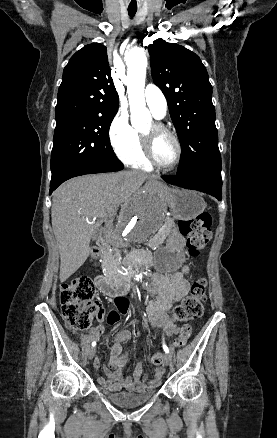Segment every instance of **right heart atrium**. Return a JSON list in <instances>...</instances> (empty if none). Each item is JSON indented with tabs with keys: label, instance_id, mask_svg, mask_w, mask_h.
Segmentation results:
<instances>
[{
	"label": "right heart atrium",
	"instance_id": "right-heart-atrium-1",
	"mask_svg": "<svg viewBox=\"0 0 277 438\" xmlns=\"http://www.w3.org/2000/svg\"><path fill=\"white\" fill-rule=\"evenodd\" d=\"M109 136L111 144L119 156L127 158L134 153L137 135L125 112L119 111L115 115L109 129Z\"/></svg>",
	"mask_w": 277,
	"mask_h": 438
}]
</instances>
